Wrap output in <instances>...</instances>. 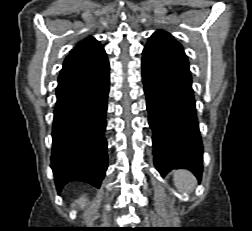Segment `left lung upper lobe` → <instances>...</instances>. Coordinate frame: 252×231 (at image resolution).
I'll return each mask as SVG.
<instances>
[{"instance_id": "1", "label": "left lung upper lobe", "mask_w": 252, "mask_h": 231, "mask_svg": "<svg viewBox=\"0 0 252 231\" xmlns=\"http://www.w3.org/2000/svg\"><path fill=\"white\" fill-rule=\"evenodd\" d=\"M159 33L169 34V33L165 32V31H163V30H158V31L155 32L153 35H156V34H159ZM153 35H152V36H153Z\"/></svg>"}]
</instances>
